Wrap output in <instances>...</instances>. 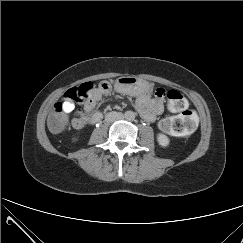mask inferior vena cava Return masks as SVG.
I'll return each instance as SVG.
<instances>
[{
	"label": "inferior vena cava",
	"instance_id": "1",
	"mask_svg": "<svg viewBox=\"0 0 243 243\" xmlns=\"http://www.w3.org/2000/svg\"><path fill=\"white\" fill-rule=\"evenodd\" d=\"M119 118V117H118ZM121 118V117H120ZM106 121L107 122H112V121H114V119H112V118H110V117H106Z\"/></svg>",
	"mask_w": 243,
	"mask_h": 243
}]
</instances>
